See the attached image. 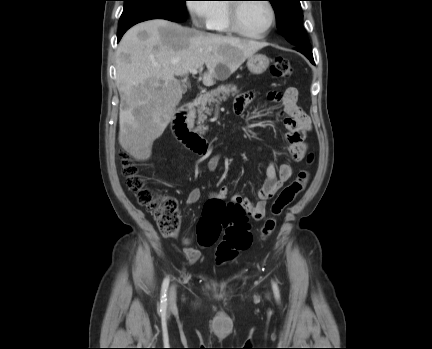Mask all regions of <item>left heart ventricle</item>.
Listing matches in <instances>:
<instances>
[{
    "label": "left heart ventricle",
    "instance_id": "left-heart-ventricle-1",
    "mask_svg": "<svg viewBox=\"0 0 432 349\" xmlns=\"http://www.w3.org/2000/svg\"><path fill=\"white\" fill-rule=\"evenodd\" d=\"M240 24L250 33H262L269 25L271 13L264 2L244 3L239 8Z\"/></svg>",
    "mask_w": 432,
    "mask_h": 349
}]
</instances>
